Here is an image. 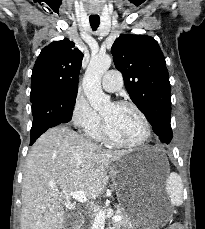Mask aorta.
Listing matches in <instances>:
<instances>
[{"mask_svg": "<svg viewBox=\"0 0 205 229\" xmlns=\"http://www.w3.org/2000/svg\"><path fill=\"white\" fill-rule=\"evenodd\" d=\"M112 59L109 55H96L90 60L85 72L82 86L90 105L95 110H100L110 103V97L101 88V78L110 68ZM106 213L100 210L95 218L92 229H104Z\"/></svg>", "mask_w": 205, "mask_h": 229, "instance_id": "1", "label": "aorta"}]
</instances>
